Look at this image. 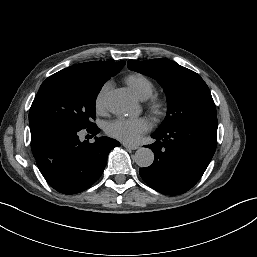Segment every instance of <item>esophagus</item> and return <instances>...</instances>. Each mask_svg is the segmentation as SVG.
Returning <instances> with one entry per match:
<instances>
[{
	"label": "esophagus",
	"mask_w": 257,
	"mask_h": 257,
	"mask_svg": "<svg viewBox=\"0 0 257 257\" xmlns=\"http://www.w3.org/2000/svg\"><path fill=\"white\" fill-rule=\"evenodd\" d=\"M123 146L126 148V149H130V150H136L139 148L138 145H130V144H126L124 143Z\"/></svg>",
	"instance_id": "obj_1"
}]
</instances>
